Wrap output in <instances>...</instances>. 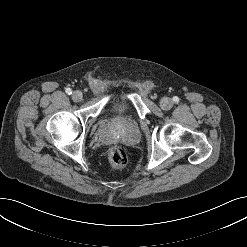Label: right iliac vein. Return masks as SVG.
<instances>
[{"instance_id": "right-iliac-vein-1", "label": "right iliac vein", "mask_w": 247, "mask_h": 247, "mask_svg": "<svg viewBox=\"0 0 247 247\" xmlns=\"http://www.w3.org/2000/svg\"><path fill=\"white\" fill-rule=\"evenodd\" d=\"M82 93L80 92V91H74L73 93H72V99H73V101H75V102H79V101H81L82 100Z\"/></svg>"}]
</instances>
